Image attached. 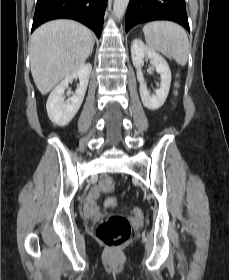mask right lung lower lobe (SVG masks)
Returning a JSON list of instances; mask_svg holds the SVG:
<instances>
[{
	"label": "right lung lower lobe",
	"mask_w": 229,
	"mask_h": 280,
	"mask_svg": "<svg viewBox=\"0 0 229 280\" xmlns=\"http://www.w3.org/2000/svg\"><path fill=\"white\" fill-rule=\"evenodd\" d=\"M107 0H37L32 31L53 19L77 20L100 38Z\"/></svg>",
	"instance_id": "98d812e1"
}]
</instances>
